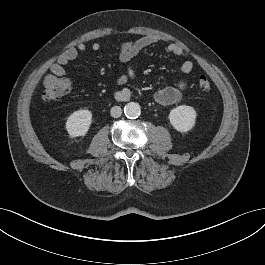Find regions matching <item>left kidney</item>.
Returning a JSON list of instances; mask_svg holds the SVG:
<instances>
[{
  "label": "left kidney",
  "mask_w": 265,
  "mask_h": 265,
  "mask_svg": "<svg viewBox=\"0 0 265 265\" xmlns=\"http://www.w3.org/2000/svg\"><path fill=\"white\" fill-rule=\"evenodd\" d=\"M197 113L191 106L180 105L172 109L169 113L171 125L179 132H188L195 125Z\"/></svg>",
  "instance_id": "left-kidney-1"
}]
</instances>
